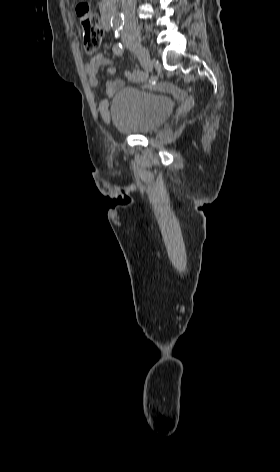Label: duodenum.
Segmentation results:
<instances>
[{"instance_id":"obj_1","label":"duodenum","mask_w":280,"mask_h":472,"mask_svg":"<svg viewBox=\"0 0 280 472\" xmlns=\"http://www.w3.org/2000/svg\"><path fill=\"white\" fill-rule=\"evenodd\" d=\"M114 13H115V3L111 2L105 7L103 16H102V24L106 30H111Z\"/></svg>"}]
</instances>
